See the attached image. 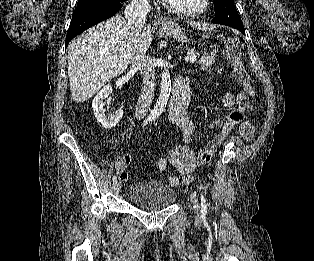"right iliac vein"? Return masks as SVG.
<instances>
[{"instance_id":"obj_1","label":"right iliac vein","mask_w":314,"mask_h":261,"mask_svg":"<svg viewBox=\"0 0 314 261\" xmlns=\"http://www.w3.org/2000/svg\"><path fill=\"white\" fill-rule=\"evenodd\" d=\"M120 188H121L120 183L115 181L112 186L114 194L118 195Z\"/></svg>"}]
</instances>
